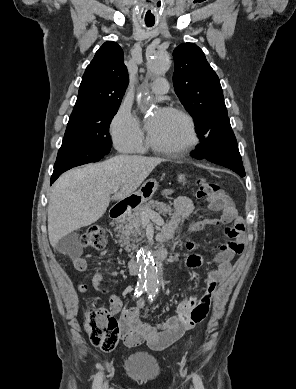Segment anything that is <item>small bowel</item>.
Masks as SVG:
<instances>
[{
    "mask_svg": "<svg viewBox=\"0 0 296 389\" xmlns=\"http://www.w3.org/2000/svg\"><path fill=\"white\" fill-rule=\"evenodd\" d=\"M174 214L163 227L160 240H168L174 237L177 231V222L180 216L189 220V231L196 233L207 226L221 224L224 226L222 232L226 237L224 243L215 245L213 249L216 255L213 261L217 268L208 272L206 276L205 291L199 299H186L179 303L176 313L162 323H144L139 319V310L144 305V300L139 299L136 306L122 310V301L116 294H109L108 309L111 314H120V330L123 342L130 347L138 346L143 343L154 351H161L179 340L185 332L192 329L195 323L191 319L192 313L196 311L208 312L216 285L225 280L231 272L230 261L232 258L241 254L245 247L244 223L241 217L237 215L234 205L227 198L222 203L212 204L210 208L221 211L218 218H209L197 220L194 217L195 207L191 199L180 196L173 203ZM233 223L232 226L230 224ZM189 249L197 248L193 240L187 241ZM204 259L200 255H191L187 260V267L195 269L201 266ZM75 267L79 271L87 268V259L85 256H78L75 259ZM92 287L99 292L107 293L103 286V275L96 273L91 279ZM79 291L84 292L87 285L80 284Z\"/></svg>",
    "mask_w": 296,
    "mask_h": 389,
    "instance_id": "c3829d8e",
    "label": "small bowel"
}]
</instances>
